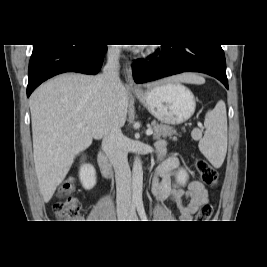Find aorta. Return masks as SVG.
<instances>
[{"label": "aorta", "mask_w": 267, "mask_h": 267, "mask_svg": "<svg viewBox=\"0 0 267 267\" xmlns=\"http://www.w3.org/2000/svg\"><path fill=\"white\" fill-rule=\"evenodd\" d=\"M143 170L141 160L138 156L134 159L132 168V198L135 202L142 201Z\"/></svg>", "instance_id": "obj_1"}]
</instances>
